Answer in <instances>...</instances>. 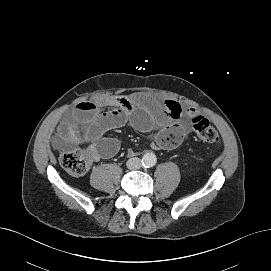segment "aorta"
<instances>
[{"label":"aorta","mask_w":271,"mask_h":271,"mask_svg":"<svg viewBox=\"0 0 271 271\" xmlns=\"http://www.w3.org/2000/svg\"><path fill=\"white\" fill-rule=\"evenodd\" d=\"M142 163L145 167H152L156 164V156L153 153H145L142 157Z\"/></svg>","instance_id":"obj_1"}]
</instances>
